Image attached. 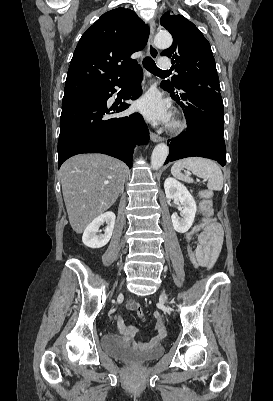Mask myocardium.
Wrapping results in <instances>:
<instances>
[{"instance_id": "obj_1", "label": "myocardium", "mask_w": 273, "mask_h": 401, "mask_svg": "<svg viewBox=\"0 0 273 401\" xmlns=\"http://www.w3.org/2000/svg\"><path fill=\"white\" fill-rule=\"evenodd\" d=\"M187 128H188L187 121L182 118H178L171 124L170 130L175 134H180L185 132Z\"/></svg>"}]
</instances>
